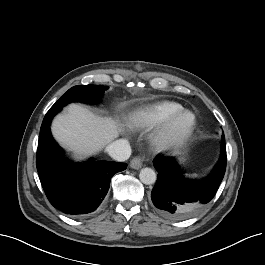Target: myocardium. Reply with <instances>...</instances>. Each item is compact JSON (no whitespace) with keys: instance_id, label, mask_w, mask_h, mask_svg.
Instances as JSON below:
<instances>
[{"instance_id":"f54148a6","label":"myocardium","mask_w":265,"mask_h":265,"mask_svg":"<svg viewBox=\"0 0 265 265\" xmlns=\"http://www.w3.org/2000/svg\"><path fill=\"white\" fill-rule=\"evenodd\" d=\"M191 116V122L182 126L180 121L184 116ZM197 125L195 114L187 109H182L169 116L159 127L155 134V142L160 147H171L183 144L194 132Z\"/></svg>"}]
</instances>
